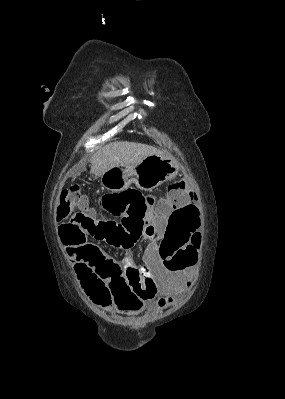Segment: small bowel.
I'll list each match as a JSON object with an SVG mask.
<instances>
[{
    "label": "small bowel",
    "mask_w": 285,
    "mask_h": 399,
    "mask_svg": "<svg viewBox=\"0 0 285 399\" xmlns=\"http://www.w3.org/2000/svg\"><path fill=\"white\" fill-rule=\"evenodd\" d=\"M187 195L182 194L177 204L184 207L186 205ZM176 207L168 205L162 209V214L157 215L153 209L152 211V224H149L144 230V237L152 244L145 250L143 254V261L156 269V252L157 248L155 240L157 235L163 234L166 240L170 243H182V248L185 257L190 261V264L183 270L168 272L165 274L158 273L156 278L158 281L157 293L151 298H141L135 305H128L124 302V298L120 294V288L127 283L139 277V270L137 267L130 263L129 268L123 270L121 264L105 255L95 257L93 261L88 260L78 252L77 246H68L66 254L76 272V268L82 265L91 264L93 270L98 271L100 274L107 278L108 289L110 293V301L106 302L104 296L97 292H88L82 286L84 291L89 295L94 303L100 307L107 308L110 311H118L119 313L135 315L141 313L147 306V303L153 302L157 310L161 311L166 309L173 301L178 300L184 295L186 290L192 284L194 277L193 261L197 254V246L199 242V230L194 227V219L189 218L182 223H171V225L160 230L161 226L168 222L170 214L174 213ZM114 213V212H112ZM98 227H101L106 221L102 218L95 217ZM100 230L93 232V236H97ZM86 246H93L87 244ZM145 290V287L143 285Z\"/></svg>",
    "instance_id": "1"
}]
</instances>
